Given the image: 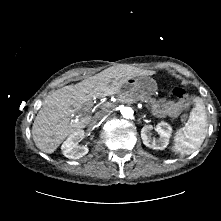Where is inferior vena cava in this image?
<instances>
[{"label": "inferior vena cava", "instance_id": "602c4592", "mask_svg": "<svg viewBox=\"0 0 221 221\" xmlns=\"http://www.w3.org/2000/svg\"><path fill=\"white\" fill-rule=\"evenodd\" d=\"M110 112V110L109 109H102V110H100V111H98L96 114H95V116H94V118H95V120H101L105 115H107L108 113Z\"/></svg>", "mask_w": 221, "mask_h": 221}]
</instances>
